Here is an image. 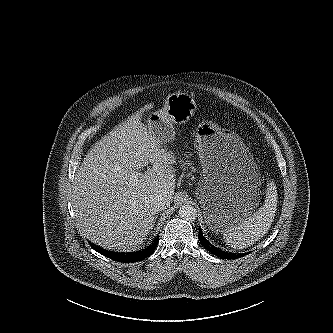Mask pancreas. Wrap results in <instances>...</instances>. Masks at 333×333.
<instances>
[{
    "mask_svg": "<svg viewBox=\"0 0 333 333\" xmlns=\"http://www.w3.org/2000/svg\"><path fill=\"white\" fill-rule=\"evenodd\" d=\"M188 166H191V163L189 161H182V168H187Z\"/></svg>",
    "mask_w": 333,
    "mask_h": 333,
    "instance_id": "cf45deb5",
    "label": "pancreas"
}]
</instances>
